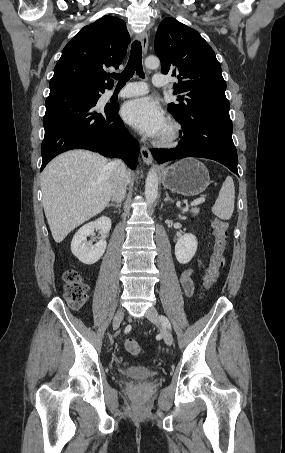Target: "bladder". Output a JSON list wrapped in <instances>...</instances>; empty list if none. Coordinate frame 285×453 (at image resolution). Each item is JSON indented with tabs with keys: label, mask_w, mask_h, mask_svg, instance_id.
<instances>
[{
	"label": "bladder",
	"mask_w": 285,
	"mask_h": 453,
	"mask_svg": "<svg viewBox=\"0 0 285 453\" xmlns=\"http://www.w3.org/2000/svg\"><path fill=\"white\" fill-rule=\"evenodd\" d=\"M121 374L136 380H145L157 375V371L151 367L142 365H130L121 370Z\"/></svg>",
	"instance_id": "31cf9c89"
}]
</instances>
